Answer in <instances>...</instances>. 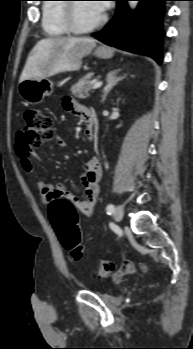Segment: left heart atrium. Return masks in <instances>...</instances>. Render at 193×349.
Listing matches in <instances>:
<instances>
[{
    "mask_svg": "<svg viewBox=\"0 0 193 349\" xmlns=\"http://www.w3.org/2000/svg\"><path fill=\"white\" fill-rule=\"evenodd\" d=\"M92 6L97 12L102 14L109 7V4L108 1H94V3H92Z\"/></svg>",
    "mask_w": 193,
    "mask_h": 349,
    "instance_id": "1",
    "label": "left heart atrium"
}]
</instances>
